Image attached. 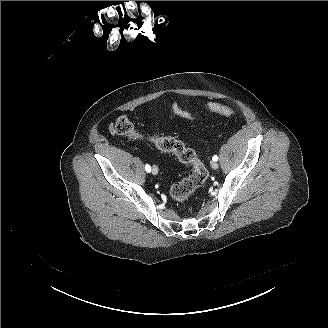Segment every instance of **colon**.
Instances as JSON below:
<instances>
[{
  "label": "colon",
  "mask_w": 328,
  "mask_h": 328,
  "mask_svg": "<svg viewBox=\"0 0 328 328\" xmlns=\"http://www.w3.org/2000/svg\"><path fill=\"white\" fill-rule=\"evenodd\" d=\"M171 109L178 117L189 120L194 119V116L185 110L179 102H174ZM207 110L224 117H231L234 115V110L231 107L218 103L208 104ZM113 132L132 140H148L159 150L170 152L176 155L181 162L191 165L192 169L189 174L182 180L174 183L170 189L171 196L176 202H184L206 182L208 178L206 167L198 158L195 151L187 147L180 140L156 134L149 135L138 131L127 115L118 117L113 126Z\"/></svg>",
  "instance_id": "colon-1"
}]
</instances>
